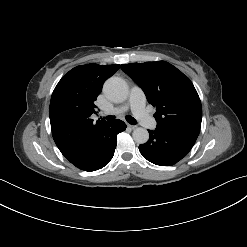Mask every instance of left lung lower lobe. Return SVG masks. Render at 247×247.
I'll use <instances>...</instances> for the list:
<instances>
[{"label": "left lung lower lobe", "instance_id": "1", "mask_svg": "<svg viewBox=\"0 0 247 247\" xmlns=\"http://www.w3.org/2000/svg\"><path fill=\"white\" fill-rule=\"evenodd\" d=\"M149 131V140L139 146L145 159L160 166H171L184 158L195 144L196 137L156 129Z\"/></svg>", "mask_w": 247, "mask_h": 247}]
</instances>
